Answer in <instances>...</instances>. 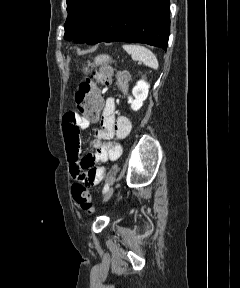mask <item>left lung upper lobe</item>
<instances>
[{
	"label": "left lung upper lobe",
	"mask_w": 240,
	"mask_h": 288,
	"mask_svg": "<svg viewBox=\"0 0 240 288\" xmlns=\"http://www.w3.org/2000/svg\"><path fill=\"white\" fill-rule=\"evenodd\" d=\"M109 0H66L65 38L86 42L99 25Z\"/></svg>",
	"instance_id": "1"
}]
</instances>
